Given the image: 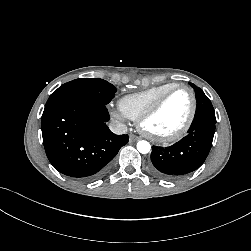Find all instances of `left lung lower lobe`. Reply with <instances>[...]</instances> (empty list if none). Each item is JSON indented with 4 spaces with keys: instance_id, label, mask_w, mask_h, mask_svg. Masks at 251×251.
Returning a JSON list of instances; mask_svg holds the SVG:
<instances>
[{
    "instance_id": "left-lung-lower-lobe-1",
    "label": "left lung lower lobe",
    "mask_w": 251,
    "mask_h": 251,
    "mask_svg": "<svg viewBox=\"0 0 251 251\" xmlns=\"http://www.w3.org/2000/svg\"><path fill=\"white\" fill-rule=\"evenodd\" d=\"M215 123V115H196L187 136L179 142L169 147L153 146L152 171L164 179L173 180L199 168L211 149Z\"/></svg>"
}]
</instances>
